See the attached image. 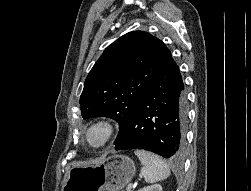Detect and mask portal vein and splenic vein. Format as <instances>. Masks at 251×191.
<instances>
[{
  "instance_id": "portal-vein-and-splenic-vein-1",
  "label": "portal vein and splenic vein",
  "mask_w": 251,
  "mask_h": 191,
  "mask_svg": "<svg viewBox=\"0 0 251 191\" xmlns=\"http://www.w3.org/2000/svg\"><path fill=\"white\" fill-rule=\"evenodd\" d=\"M131 186H133V183L126 184V185H125L126 190H127V191H130V190H131Z\"/></svg>"
}]
</instances>
